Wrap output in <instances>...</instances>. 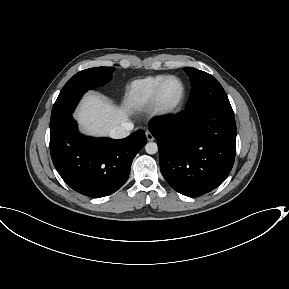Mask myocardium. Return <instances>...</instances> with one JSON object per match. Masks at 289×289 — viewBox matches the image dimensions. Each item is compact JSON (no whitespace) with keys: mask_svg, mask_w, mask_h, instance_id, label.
Masks as SVG:
<instances>
[{"mask_svg":"<svg viewBox=\"0 0 289 289\" xmlns=\"http://www.w3.org/2000/svg\"><path fill=\"white\" fill-rule=\"evenodd\" d=\"M169 80H177L181 85V94L179 98L172 104H165L162 101V91L165 84ZM186 98V86L184 81L175 75H168L166 76L156 87L152 101L150 104L151 112L153 115L158 117H168L176 114L181 109L182 105L184 104Z\"/></svg>","mask_w":289,"mask_h":289,"instance_id":"myocardium-1","label":"myocardium"}]
</instances>
